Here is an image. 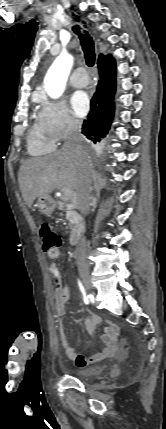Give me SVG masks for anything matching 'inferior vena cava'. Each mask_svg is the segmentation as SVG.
I'll use <instances>...</instances> for the list:
<instances>
[{"label":"inferior vena cava","mask_w":166,"mask_h":429,"mask_svg":"<svg viewBox=\"0 0 166 429\" xmlns=\"http://www.w3.org/2000/svg\"><path fill=\"white\" fill-rule=\"evenodd\" d=\"M81 122L71 119L68 124L67 137L63 148L71 150L81 159L79 170V179L77 187L78 204L82 214L89 212L90 185H91V167L90 160L82 150ZM77 260H85L86 257V239L83 237L75 250Z\"/></svg>","instance_id":"obj_1"}]
</instances>
